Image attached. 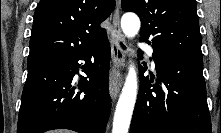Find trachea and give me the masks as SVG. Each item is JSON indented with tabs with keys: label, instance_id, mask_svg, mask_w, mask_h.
I'll return each instance as SVG.
<instances>
[{
	"label": "trachea",
	"instance_id": "3493384b",
	"mask_svg": "<svg viewBox=\"0 0 221 133\" xmlns=\"http://www.w3.org/2000/svg\"><path fill=\"white\" fill-rule=\"evenodd\" d=\"M120 44H121V47L124 49L125 48L124 45L122 43H120Z\"/></svg>",
	"mask_w": 221,
	"mask_h": 133
}]
</instances>
